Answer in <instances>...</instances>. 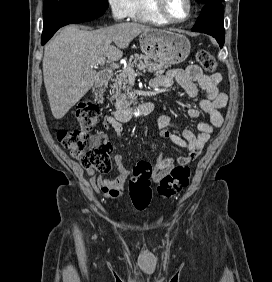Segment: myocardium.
<instances>
[{"mask_svg": "<svg viewBox=\"0 0 272 282\" xmlns=\"http://www.w3.org/2000/svg\"><path fill=\"white\" fill-rule=\"evenodd\" d=\"M153 2V8L167 21L172 23H182L186 20H188L191 17L192 11H193V4L192 0H185L187 4V14L182 19H176L172 17L169 12L166 9L165 1L164 0H152Z\"/></svg>", "mask_w": 272, "mask_h": 282, "instance_id": "myocardium-1", "label": "myocardium"}]
</instances>
